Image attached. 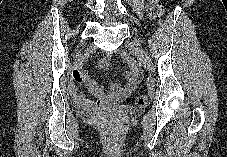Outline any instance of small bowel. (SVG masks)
<instances>
[{
  "label": "small bowel",
  "instance_id": "obj_1",
  "mask_svg": "<svg viewBox=\"0 0 227 157\" xmlns=\"http://www.w3.org/2000/svg\"><path fill=\"white\" fill-rule=\"evenodd\" d=\"M109 60L105 57L101 61V66L106 68L108 66ZM130 69L127 74V82L123 86L114 84L111 88V93L107 95L105 91L94 81L89 75L77 69L72 73L70 82V94L74 101L81 107L86 109H97L101 107L106 101H116L126 98L135 88L137 81L140 76L139 69L132 63L129 62ZM84 83L89 89L90 93L93 95V99L87 98L78 89V84Z\"/></svg>",
  "mask_w": 227,
  "mask_h": 157
}]
</instances>
